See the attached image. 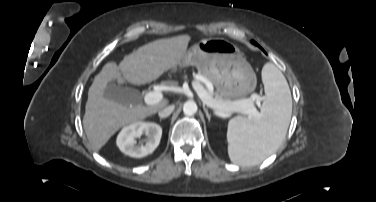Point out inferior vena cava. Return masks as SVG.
<instances>
[{
  "mask_svg": "<svg viewBox=\"0 0 376 202\" xmlns=\"http://www.w3.org/2000/svg\"><path fill=\"white\" fill-rule=\"evenodd\" d=\"M174 110V106L173 105H169L167 107H165L164 109L160 110L158 112V115L160 118H166L168 117Z\"/></svg>",
  "mask_w": 376,
  "mask_h": 202,
  "instance_id": "obj_1",
  "label": "inferior vena cava"
}]
</instances>
